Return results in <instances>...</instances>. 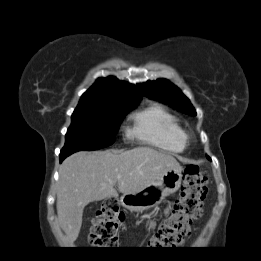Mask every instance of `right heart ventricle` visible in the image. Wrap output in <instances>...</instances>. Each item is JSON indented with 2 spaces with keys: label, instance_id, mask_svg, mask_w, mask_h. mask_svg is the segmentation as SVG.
<instances>
[{
  "label": "right heart ventricle",
  "instance_id": "obj_1",
  "mask_svg": "<svg viewBox=\"0 0 261 261\" xmlns=\"http://www.w3.org/2000/svg\"><path fill=\"white\" fill-rule=\"evenodd\" d=\"M130 134L159 149L180 153L186 145V135L177 118L159 104H152L132 115Z\"/></svg>",
  "mask_w": 261,
  "mask_h": 261
}]
</instances>
